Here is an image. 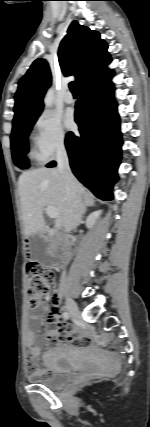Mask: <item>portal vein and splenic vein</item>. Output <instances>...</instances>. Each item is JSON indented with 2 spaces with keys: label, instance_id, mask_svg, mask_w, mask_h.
I'll list each match as a JSON object with an SVG mask.
<instances>
[{
  "label": "portal vein and splenic vein",
  "instance_id": "portal-vein-and-splenic-vein-1",
  "mask_svg": "<svg viewBox=\"0 0 150 427\" xmlns=\"http://www.w3.org/2000/svg\"><path fill=\"white\" fill-rule=\"evenodd\" d=\"M46 213L48 214V216H49L50 218H57V216H58V211H57V209H56L55 207H53V206H48V207L46 208Z\"/></svg>",
  "mask_w": 150,
  "mask_h": 427
}]
</instances>
